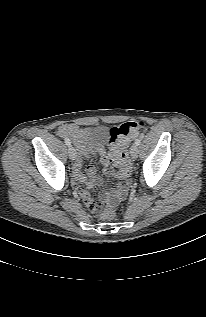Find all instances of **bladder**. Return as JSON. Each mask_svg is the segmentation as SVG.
Masks as SVG:
<instances>
[{"mask_svg": "<svg viewBox=\"0 0 206 317\" xmlns=\"http://www.w3.org/2000/svg\"><path fill=\"white\" fill-rule=\"evenodd\" d=\"M109 139V132L103 126L91 128L83 134V142L87 146L94 145L101 147Z\"/></svg>", "mask_w": 206, "mask_h": 317, "instance_id": "31cf9c89", "label": "bladder"}]
</instances>
